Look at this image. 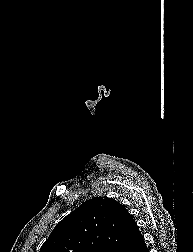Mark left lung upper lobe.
Listing matches in <instances>:
<instances>
[{
	"label": "left lung upper lobe",
	"mask_w": 193,
	"mask_h": 252,
	"mask_svg": "<svg viewBox=\"0 0 193 252\" xmlns=\"http://www.w3.org/2000/svg\"><path fill=\"white\" fill-rule=\"evenodd\" d=\"M136 228L122 204L95 197L60 221L40 252H122Z\"/></svg>",
	"instance_id": "left-lung-upper-lobe-1"
}]
</instances>
